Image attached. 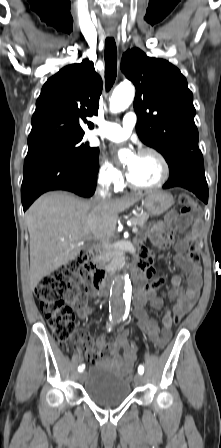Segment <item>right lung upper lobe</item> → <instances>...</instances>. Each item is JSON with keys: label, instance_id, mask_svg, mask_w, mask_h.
I'll use <instances>...</instances> for the list:
<instances>
[{"label": "right lung upper lobe", "instance_id": "right-lung-upper-lobe-1", "mask_svg": "<svg viewBox=\"0 0 221 448\" xmlns=\"http://www.w3.org/2000/svg\"><path fill=\"white\" fill-rule=\"evenodd\" d=\"M102 79L88 59L62 68L43 85L32 116L28 147L84 135L86 117L98 114Z\"/></svg>", "mask_w": 221, "mask_h": 448}]
</instances>
